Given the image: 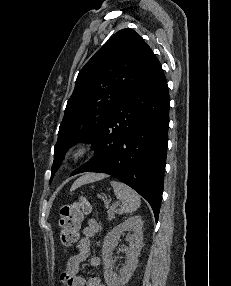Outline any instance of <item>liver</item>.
Instances as JSON below:
<instances>
[{
	"instance_id": "6515ba94",
	"label": "liver",
	"mask_w": 231,
	"mask_h": 286,
	"mask_svg": "<svg viewBox=\"0 0 231 286\" xmlns=\"http://www.w3.org/2000/svg\"><path fill=\"white\" fill-rule=\"evenodd\" d=\"M105 177H106L105 174H86L85 176L80 177L79 179H77L74 182V184L71 187V191L77 189L78 187H80L83 184L94 182L97 180H101Z\"/></svg>"
}]
</instances>
